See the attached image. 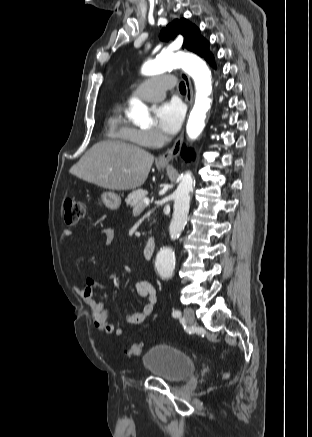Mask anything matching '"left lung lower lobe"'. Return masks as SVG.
Masks as SVG:
<instances>
[{
  "instance_id": "left-lung-lower-lobe-1",
  "label": "left lung lower lobe",
  "mask_w": 312,
  "mask_h": 437,
  "mask_svg": "<svg viewBox=\"0 0 312 437\" xmlns=\"http://www.w3.org/2000/svg\"><path fill=\"white\" fill-rule=\"evenodd\" d=\"M207 61L214 67V59L213 56L211 55ZM182 156L184 157V159L186 161H189L192 157H193V153L190 151V149H186L185 147H183L182 149Z\"/></svg>"
}]
</instances>
